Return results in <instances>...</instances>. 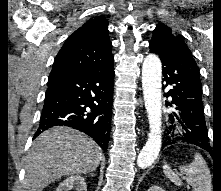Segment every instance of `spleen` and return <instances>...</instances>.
<instances>
[{
    "instance_id": "obj_1",
    "label": "spleen",
    "mask_w": 221,
    "mask_h": 191,
    "mask_svg": "<svg viewBox=\"0 0 221 191\" xmlns=\"http://www.w3.org/2000/svg\"><path fill=\"white\" fill-rule=\"evenodd\" d=\"M179 171L185 174L187 184L191 185L194 191H212V178L210 169L203 157L196 153L193 161L180 166ZM163 172L165 176L176 186H182L183 182L171 167L164 162Z\"/></svg>"
}]
</instances>
